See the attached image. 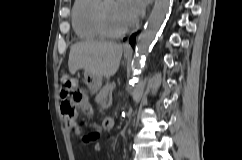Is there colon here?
I'll return each instance as SVG.
<instances>
[{
    "instance_id": "obj_1",
    "label": "colon",
    "mask_w": 242,
    "mask_h": 160,
    "mask_svg": "<svg viewBox=\"0 0 242 160\" xmlns=\"http://www.w3.org/2000/svg\"><path fill=\"white\" fill-rule=\"evenodd\" d=\"M60 95L63 102H66L62 107L63 115L71 119L76 118L85 103V91L67 73L61 74L60 77Z\"/></svg>"
}]
</instances>
